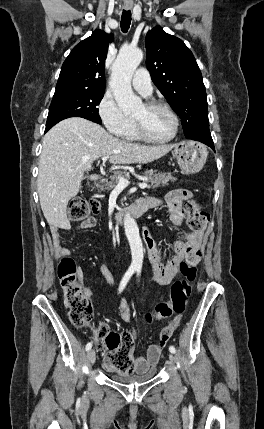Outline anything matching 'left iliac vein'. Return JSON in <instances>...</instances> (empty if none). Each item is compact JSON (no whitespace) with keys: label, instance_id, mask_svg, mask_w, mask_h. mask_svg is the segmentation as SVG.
Wrapping results in <instances>:
<instances>
[{"label":"left iliac vein","instance_id":"obj_1","mask_svg":"<svg viewBox=\"0 0 264 429\" xmlns=\"http://www.w3.org/2000/svg\"><path fill=\"white\" fill-rule=\"evenodd\" d=\"M169 360H170V363H171V364H173V363L175 362V356H174V354H173V353H170V354H169Z\"/></svg>","mask_w":264,"mask_h":429}]
</instances>
